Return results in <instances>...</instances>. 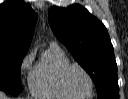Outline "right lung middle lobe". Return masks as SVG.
<instances>
[{
  "label": "right lung middle lobe",
  "mask_w": 128,
  "mask_h": 99,
  "mask_svg": "<svg viewBox=\"0 0 128 99\" xmlns=\"http://www.w3.org/2000/svg\"><path fill=\"white\" fill-rule=\"evenodd\" d=\"M25 54L0 51V90L13 95H18L23 91L20 70Z\"/></svg>",
  "instance_id": "obj_1"
}]
</instances>
